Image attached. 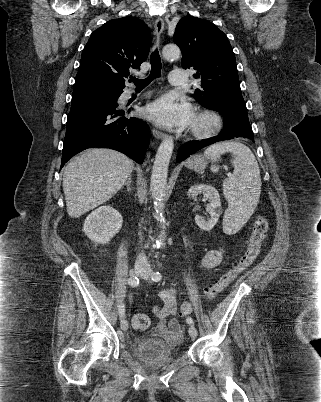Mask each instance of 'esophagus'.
Instances as JSON below:
<instances>
[{
  "instance_id": "34e87169",
  "label": "esophagus",
  "mask_w": 321,
  "mask_h": 402,
  "mask_svg": "<svg viewBox=\"0 0 321 402\" xmlns=\"http://www.w3.org/2000/svg\"><path fill=\"white\" fill-rule=\"evenodd\" d=\"M164 30V21L162 18H158L155 21V33H156V37H157V42L159 41V38L161 36V34L163 33ZM153 135L155 136L156 139L158 140H162L166 137V134L158 131L156 129L153 130Z\"/></svg>"
}]
</instances>
